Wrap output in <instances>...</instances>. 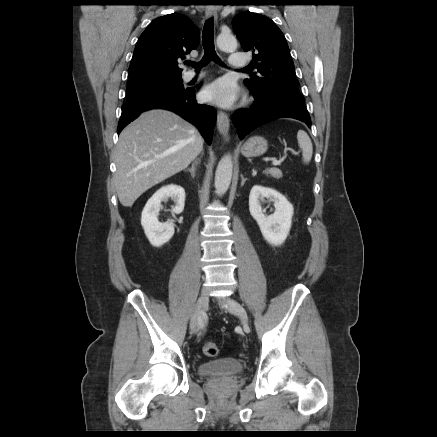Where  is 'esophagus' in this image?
I'll return each mask as SVG.
<instances>
[{"mask_svg":"<svg viewBox=\"0 0 437 437\" xmlns=\"http://www.w3.org/2000/svg\"><path fill=\"white\" fill-rule=\"evenodd\" d=\"M206 17L207 18H217V10L214 7H208L206 9ZM217 128L219 133L228 140L229 138V128H230V119L225 112L218 111L217 113Z\"/></svg>","mask_w":437,"mask_h":437,"instance_id":"obj_1","label":"esophagus"}]
</instances>
